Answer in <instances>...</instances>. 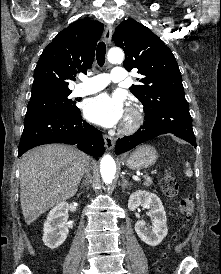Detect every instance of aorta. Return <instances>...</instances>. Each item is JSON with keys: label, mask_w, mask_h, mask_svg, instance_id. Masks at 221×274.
Here are the masks:
<instances>
[{"label": "aorta", "mask_w": 221, "mask_h": 274, "mask_svg": "<svg viewBox=\"0 0 221 274\" xmlns=\"http://www.w3.org/2000/svg\"><path fill=\"white\" fill-rule=\"evenodd\" d=\"M107 59L110 63H122L124 53L120 48H112L108 52ZM100 172L104 183L111 184L116 173V164L112 156L104 155L102 157Z\"/></svg>", "instance_id": "obj_1"}]
</instances>
